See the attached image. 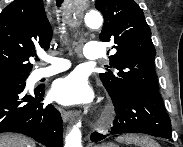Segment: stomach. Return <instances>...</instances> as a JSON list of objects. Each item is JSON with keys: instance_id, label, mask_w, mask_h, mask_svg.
I'll return each instance as SVG.
<instances>
[{"instance_id": "1", "label": "stomach", "mask_w": 183, "mask_h": 147, "mask_svg": "<svg viewBox=\"0 0 183 147\" xmlns=\"http://www.w3.org/2000/svg\"><path fill=\"white\" fill-rule=\"evenodd\" d=\"M99 147H117V146L113 143H103Z\"/></svg>"}]
</instances>
